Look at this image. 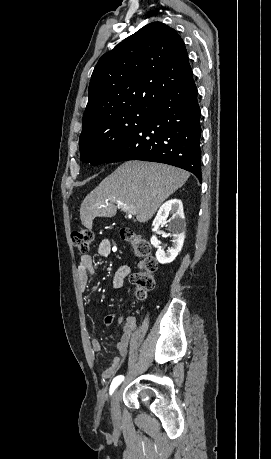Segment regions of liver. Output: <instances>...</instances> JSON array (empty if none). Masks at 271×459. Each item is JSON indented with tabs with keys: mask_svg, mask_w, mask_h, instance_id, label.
<instances>
[{
	"mask_svg": "<svg viewBox=\"0 0 271 459\" xmlns=\"http://www.w3.org/2000/svg\"><path fill=\"white\" fill-rule=\"evenodd\" d=\"M189 176V172L165 164L125 162L83 200L81 222L85 228L92 229L97 216H115L116 204L121 208H134L138 222H147L162 202L182 188Z\"/></svg>",
	"mask_w": 271,
	"mask_h": 459,
	"instance_id": "1",
	"label": "liver"
}]
</instances>
